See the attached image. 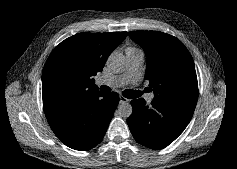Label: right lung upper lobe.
<instances>
[{"label":"right lung upper lobe","instance_id":"right-lung-upper-lobe-1","mask_svg":"<svg viewBox=\"0 0 237 169\" xmlns=\"http://www.w3.org/2000/svg\"><path fill=\"white\" fill-rule=\"evenodd\" d=\"M126 36L127 32L79 33L55 47L42 73L46 117L98 90L92 76L102 71L108 56Z\"/></svg>","mask_w":237,"mask_h":169}]
</instances>
